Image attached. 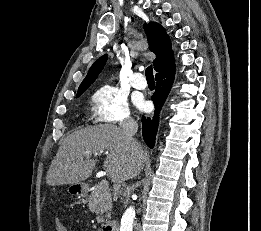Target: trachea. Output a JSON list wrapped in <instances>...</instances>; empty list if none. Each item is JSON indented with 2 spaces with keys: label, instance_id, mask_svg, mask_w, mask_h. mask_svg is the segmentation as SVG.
Wrapping results in <instances>:
<instances>
[{
  "label": "trachea",
  "instance_id": "trachea-1",
  "mask_svg": "<svg viewBox=\"0 0 261 231\" xmlns=\"http://www.w3.org/2000/svg\"><path fill=\"white\" fill-rule=\"evenodd\" d=\"M145 75H146L147 81H154L152 65H150L149 67H147V69H146V71H145Z\"/></svg>",
  "mask_w": 261,
  "mask_h": 231
}]
</instances>
